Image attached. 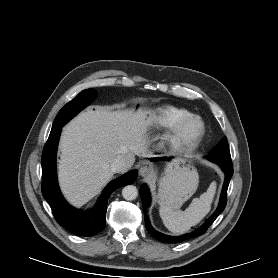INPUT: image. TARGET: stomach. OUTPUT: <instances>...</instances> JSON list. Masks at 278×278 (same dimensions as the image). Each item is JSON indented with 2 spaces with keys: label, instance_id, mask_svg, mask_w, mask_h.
<instances>
[{
  "label": "stomach",
  "instance_id": "stomach-1",
  "mask_svg": "<svg viewBox=\"0 0 278 278\" xmlns=\"http://www.w3.org/2000/svg\"><path fill=\"white\" fill-rule=\"evenodd\" d=\"M178 163V159L168 163L165 175L160 179V205L178 208L197 190L199 178L196 170L190 165L180 167Z\"/></svg>",
  "mask_w": 278,
  "mask_h": 278
}]
</instances>
